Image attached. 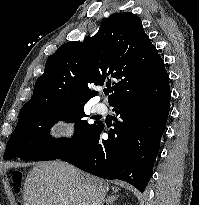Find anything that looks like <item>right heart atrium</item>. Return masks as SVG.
<instances>
[{
  "instance_id": "right-heart-atrium-1",
  "label": "right heart atrium",
  "mask_w": 199,
  "mask_h": 205,
  "mask_svg": "<svg viewBox=\"0 0 199 205\" xmlns=\"http://www.w3.org/2000/svg\"><path fill=\"white\" fill-rule=\"evenodd\" d=\"M75 127L66 117L55 119L47 130V137L54 142L69 141L74 138Z\"/></svg>"
}]
</instances>
